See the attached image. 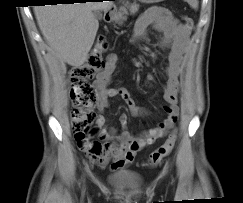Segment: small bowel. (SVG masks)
<instances>
[{
	"instance_id": "obj_1",
	"label": "small bowel",
	"mask_w": 243,
	"mask_h": 203,
	"mask_svg": "<svg viewBox=\"0 0 243 203\" xmlns=\"http://www.w3.org/2000/svg\"><path fill=\"white\" fill-rule=\"evenodd\" d=\"M151 25H154L158 31L163 33L162 46L169 49L166 67L167 80L163 93L164 100L167 103L164 107L167 114L166 118L156 127L149 129L140 136H133L127 130L116 134L114 129H95L93 134L98 136V140H88L86 144L78 145L79 149L87 154L92 161L101 166L109 164L113 171L131 164L139 151L163 136L178 120V79L189 46V29L174 18L166 8L154 6L145 11L137 20L132 41L134 43L140 42ZM117 61L118 57L116 54H109L105 68L96 77L94 86L98 93L97 109L100 112L105 111L110 106V98L119 96L125 102L132 115L144 116L146 113L145 109L135 103L127 89L110 88L108 86L116 70ZM147 79L152 81L154 77L153 75H148ZM119 122L125 128L128 123L127 115L121 114ZM103 123L104 118L100 116L98 125L101 126Z\"/></svg>"
}]
</instances>
